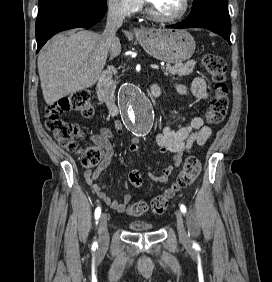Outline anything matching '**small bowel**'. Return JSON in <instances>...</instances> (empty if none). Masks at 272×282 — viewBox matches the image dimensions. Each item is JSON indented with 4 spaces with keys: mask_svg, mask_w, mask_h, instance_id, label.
<instances>
[{
    "mask_svg": "<svg viewBox=\"0 0 272 282\" xmlns=\"http://www.w3.org/2000/svg\"><path fill=\"white\" fill-rule=\"evenodd\" d=\"M174 89L180 95H192L198 99H206L208 97L206 81L201 77L195 78L190 87L175 84ZM124 134L125 130L123 124L117 121L115 122L114 133L104 127L99 134L92 135L90 137L91 142L102 150L104 157L95 170H87L84 173L87 184L95 192L97 197L118 212H124L126 210L131 200V195L125 194L120 201H117L108 196L105 192V185L97 184L96 180L111 163L113 152L117 145L116 141L121 139ZM210 134L211 129L204 125L203 119L200 116L193 117L189 125L178 130H173L168 125H165L162 130L155 135V142L162 154H172V163L165 167L159 175L154 172L150 164H146L149 171V178L155 183H166L173 168L181 164L183 155L190 150L191 146L194 143L200 146L204 145ZM139 143L140 137L133 138L128 145V150L132 153H137ZM159 163L160 160L157 164Z\"/></svg>",
    "mask_w": 272,
    "mask_h": 282,
    "instance_id": "c3829d8e",
    "label": "small bowel"
}]
</instances>
